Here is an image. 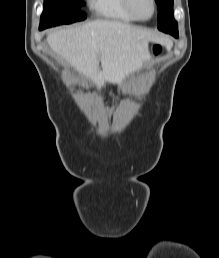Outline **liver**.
I'll list each match as a JSON object with an SVG mask.
<instances>
[{
  "instance_id": "1",
  "label": "liver",
  "mask_w": 219,
  "mask_h": 258,
  "mask_svg": "<svg viewBox=\"0 0 219 258\" xmlns=\"http://www.w3.org/2000/svg\"><path fill=\"white\" fill-rule=\"evenodd\" d=\"M149 41L171 44L151 32L110 20L59 29L47 36L50 48L99 89L106 82L121 84L138 70L148 56Z\"/></svg>"
}]
</instances>
